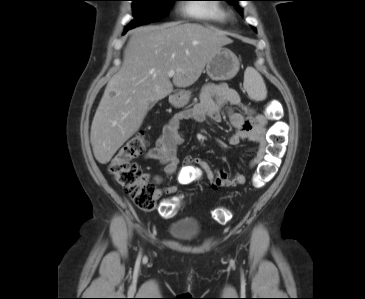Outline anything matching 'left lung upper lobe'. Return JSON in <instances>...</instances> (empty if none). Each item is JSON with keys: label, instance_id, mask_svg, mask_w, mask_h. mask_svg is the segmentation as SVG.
<instances>
[{"label": "left lung upper lobe", "instance_id": "1", "mask_svg": "<svg viewBox=\"0 0 365 299\" xmlns=\"http://www.w3.org/2000/svg\"><path fill=\"white\" fill-rule=\"evenodd\" d=\"M225 1H228V2H229V3H231V4L235 3L237 11H238L240 14H242V9H241V8H239V7L237 6V4H236V2H237V1H241V0H225ZM252 28L256 31V29H255L254 27H252Z\"/></svg>", "mask_w": 365, "mask_h": 299}]
</instances>
